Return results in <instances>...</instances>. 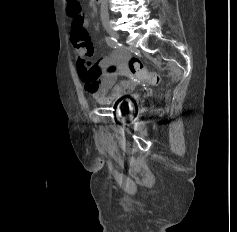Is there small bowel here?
Returning <instances> with one entry per match:
<instances>
[{"label": "small bowel", "mask_w": 237, "mask_h": 232, "mask_svg": "<svg viewBox=\"0 0 237 232\" xmlns=\"http://www.w3.org/2000/svg\"><path fill=\"white\" fill-rule=\"evenodd\" d=\"M83 16V29L71 24L70 41L77 56V72L84 84V89L93 99L101 104H109L130 93L135 87L133 79L116 83L118 76H128L127 56L123 52H112L102 57L96 64L91 61L95 45L85 29L86 19ZM109 91L111 93L109 94Z\"/></svg>", "instance_id": "obj_1"}]
</instances>
